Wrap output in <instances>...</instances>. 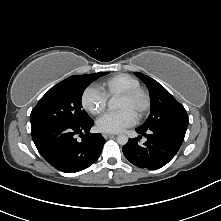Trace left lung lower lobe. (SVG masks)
I'll return each instance as SVG.
<instances>
[{
  "mask_svg": "<svg viewBox=\"0 0 221 221\" xmlns=\"http://www.w3.org/2000/svg\"><path fill=\"white\" fill-rule=\"evenodd\" d=\"M187 127L167 125L151 129L137 128L138 134L145 136L147 141L140 145L138 139H129L122 148L125 157L135 166L154 170L166 165L179 150Z\"/></svg>",
  "mask_w": 221,
  "mask_h": 221,
  "instance_id": "left-lung-lower-lobe-1",
  "label": "left lung lower lobe"
}]
</instances>
